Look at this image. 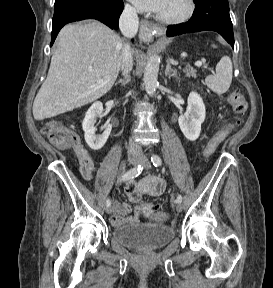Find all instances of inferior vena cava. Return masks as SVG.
I'll return each mask as SVG.
<instances>
[{
	"label": "inferior vena cava",
	"instance_id": "1",
	"mask_svg": "<svg viewBox=\"0 0 273 288\" xmlns=\"http://www.w3.org/2000/svg\"><path fill=\"white\" fill-rule=\"evenodd\" d=\"M138 26H139V19L137 16L136 9L131 7L130 5H126L119 20V27L122 34L128 39L133 38L138 31ZM132 67H133V53L129 43H126L123 52L121 70L122 75L125 77V79H128V81L130 80L129 73L132 70ZM128 153L129 154L142 153L141 145L135 142L134 138H130L129 140Z\"/></svg>",
	"mask_w": 273,
	"mask_h": 288
}]
</instances>
